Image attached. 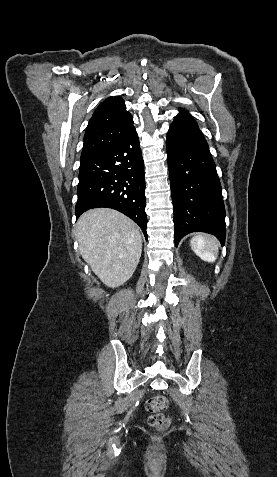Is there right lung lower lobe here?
I'll return each mask as SVG.
<instances>
[{"mask_svg":"<svg viewBox=\"0 0 277 477\" xmlns=\"http://www.w3.org/2000/svg\"><path fill=\"white\" fill-rule=\"evenodd\" d=\"M76 218L97 207L120 211L147 239L144 162L135 128L110 148L80 160Z\"/></svg>","mask_w":277,"mask_h":477,"instance_id":"1","label":"right lung lower lobe"}]
</instances>
